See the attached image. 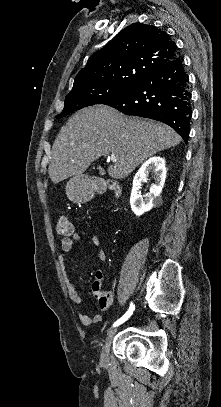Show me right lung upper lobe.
<instances>
[{"label":"right lung upper lobe","mask_w":221,"mask_h":407,"mask_svg":"<svg viewBox=\"0 0 221 407\" xmlns=\"http://www.w3.org/2000/svg\"><path fill=\"white\" fill-rule=\"evenodd\" d=\"M177 53L175 42L165 31L143 23L131 24L90 56L72 91L98 84L136 85Z\"/></svg>","instance_id":"obj_1"}]
</instances>
